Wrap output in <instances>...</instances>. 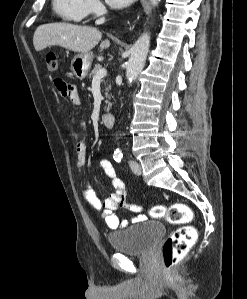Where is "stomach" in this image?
Wrapping results in <instances>:
<instances>
[{"instance_id": "stomach-1", "label": "stomach", "mask_w": 247, "mask_h": 299, "mask_svg": "<svg viewBox=\"0 0 247 299\" xmlns=\"http://www.w3.org/2000/svg\"><path fill=\"white\" fill-rule=\"evenodd\" d=\"M93 59L92 53H79L71 61V70L77 79H84L90 70Z\"/></svg>"}]
</instances>
